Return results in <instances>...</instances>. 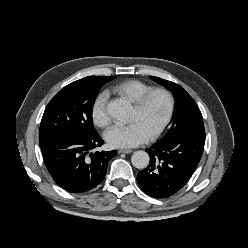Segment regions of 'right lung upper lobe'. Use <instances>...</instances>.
Returning <instances> with one entry per match:
<instances>
[{
  "instance_id": "1",
  "label": "right lung upper lobe",
  "mask_w": 248,
  "mask_h": 248,
  "mask_svg": "<svg viewBox=\"0 0 248 248\" xmlns=\"http://www.w3.org/2000/svg\"><path fill=\"white\" fill-rule=\"evenodd\" d=\"M114 78H116V77H114V76H89V77H86V78H83V79L106 83L108 81L113 80Z\"/></svg>"
}]
</instances>
